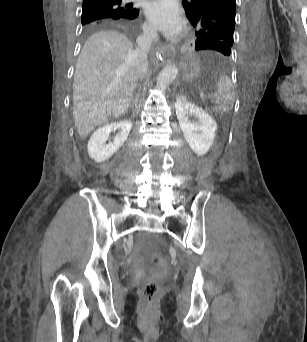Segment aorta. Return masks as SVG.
<instances>
[{
  "instance_id": "762f6f07",
  "label": "aorta",
  "mask_w": 307,
  "mask_h": 342,
  "mask_svg": "<svg viewBox=\"0 0 307 342\" xmlns=\"http://www.w3.org/2000/svg\"><path fill=\"white\" fill-rule=\"evenodd\" d=\"M177 74L178 70L176 66H173V64L165 66V68H163L162 72H160L157 78L156 86L158 90H166V88L170 86L171 82L175 80Z\"/></svg>"
}]
</instances>
